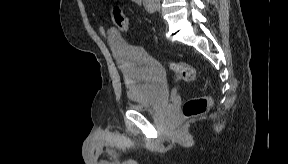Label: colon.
Listing matches in <instances>:
<instances>
[{
	"label": "colon",
	"mask_w": 288,
	"mask_h": 164,
	"mask_svg": "<svg viewBox=\"0 0 288 164\" xmlns=\"http://www.w3.org/2000/svg\"><path fill=\"white\" fill-rule=\"evenodd\" d=\"M113 14L116 19L118 29L123 32L129 31L130 25L127 18L118 10H115ZM169 67L175 73V75L181 79L194 81L198 78L197 70L188 64L177 61H170ZM210 107V97L200 96L186 101L182 105V113L186 117V120H191L194 117L206 113Z\"/></svg>",
	"instance_id": "1"
}]
</instances>
